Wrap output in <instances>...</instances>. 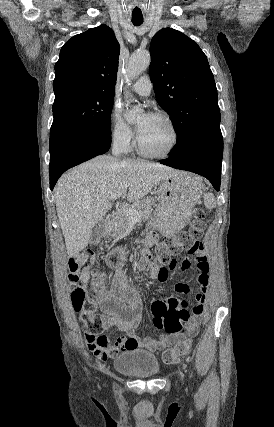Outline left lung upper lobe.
<instances>
[{"instance_id": "obj_1", "label": "left lung upper lobe", "mask_w": 274, "mask_h": 427, "mask_svg": "<svg viewBox=\"0 0 274 427\" xmlns=\"http://www.w3.org/2000/svg\"><path fill=\"white\" fill-rule=\"evenodd\" d=\"M149 74L156 99L169 114L179 151L200 135L221 132L217 89L207 57L183 33L164 28L152 38Z\"/></svg>"}]
</instances>
